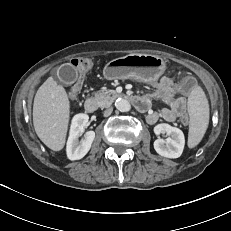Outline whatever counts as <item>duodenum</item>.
Returning a JSON list of instances; mask_svg holds the SVG:
<instances>
[{
	"label": "duodenum",
	"instance_id": "obj_1",
	"mask_svg": "<svg viewBox=\"0 0 231 231\" xmlns=\"http://www.w3.org/2000/svg\"><path fill=\"white\" fill-rule=\"evenodd\" d=\"M129 100L133 104V106L141 112L147 110L148 104L147 102L139 96H129ZM97 109V102L93 97H87L84 101V110L87 113H93Z\"/></svg>",
	"mask_w": 231,
	"mask_h": 231
}]
</instances>
